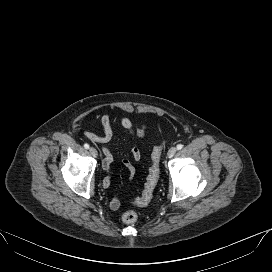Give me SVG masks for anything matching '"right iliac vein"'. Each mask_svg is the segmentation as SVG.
Wrapping results in <instances>:
<instances>
[{
    "mask_svg": "<svg viewBox=\"0 0 272 272\" xmlns=\"http://www.w3.org/2000/svg\"><path fill=\"white\" fill-rule=\"evenodd\" d=\"M89 152L93 157H97L98 155L97 150L93 147L89 148Z\"/></svg>",
    "mask_w": 272,
    "mask_h": 272,
    "instance_id": "right-iliac-vein-1",
    "label": "right iliac vein"
}]
</instances>
